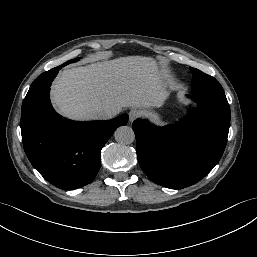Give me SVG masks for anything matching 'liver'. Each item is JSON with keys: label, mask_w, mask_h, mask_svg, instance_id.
Returning a JSON list of instances; mask_svg holds the SVG:
<instances>
[{"label": "liver", "mask_w": 257, "mask_h": 257, "mask_svg": "<svg viewBox=\"0 0 257 257\" xmlns=\"http://www.w3.org/2000/svg\"><path fill=\"white\" fill-rule=\"evenodd\" d=\"M167 87L153 58L127 56L63 71L52 85L51 99L63 116L93 120L98 109L159 106Z\"/></svg>", "instance_id": "obj_1"}]
</instances>
